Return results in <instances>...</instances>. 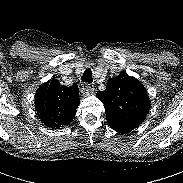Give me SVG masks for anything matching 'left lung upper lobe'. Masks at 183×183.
I'll return each mask as SVG.
<instances>
[{
	"label": "left lung upper lobe",
	"mask_w": 183,
	"mask_h": 183,
	"mask_svg": "<svg viewBox=\"0 0 183 183\" xmlns=\"http://www.w3.org/2000/svg\"><path fill=\"white\" fill-rule=\"evenodd\" d=\"M96 96L104 104L111 128L133 130L144 121L149 112L150 99L144 86L125 72L110 79L106 89L97 92Z\"/></svg>",
	"instance_id": "5c2ea615"
}]
</instances>
